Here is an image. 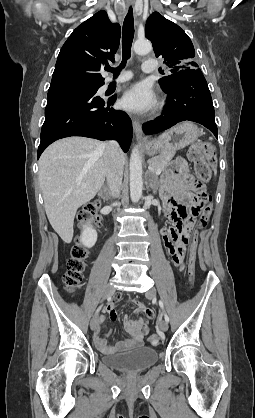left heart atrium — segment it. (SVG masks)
Segmentation results:
<instances>
[{
	"label": "left heart atrium",
	"mask_w": 255,
	"mask_h": 418,
	"mask_svg": "<svg viewBox=\"0 0 255 418\" xmlns=\"http://www.w3.org/2000/svg\"><path fill=\"white\" fill-rule=\"evenodd\" d=\"M122 105L132 112H145L156 105V97L149 85L138 83L124 93Z\"/></svg>",
	"instance_id": "1"
}]
</instances>
